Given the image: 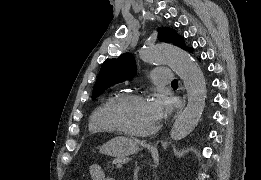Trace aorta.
<instances>
[{"label":"aorta","mask_w":261,"mask_h":180,"mask_svg":"<svg viewBox=\"0 0 261 180\" xmlns=\"http://www.w3.org/2000/svg\"><path fill=\"white\" fill-rule=\"evenodd\" d=\"M140 58L148 63L168 64L183 80L187 105L171 129V138L181 140L190 134L202 115L206 100L204 75L195 60L184 50L167 44L144 47Z\"/></svg>","instance_id":"aorta-1"}]
</instances>
